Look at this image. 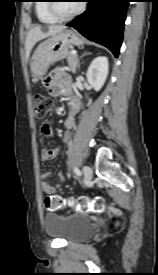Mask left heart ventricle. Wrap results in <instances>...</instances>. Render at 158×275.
<instances>
[{"mask_svg":"<svg viewBox=\"0 0 158 275\" xmlns=\"http://www.w3.org/2000/svg\"><path fill=\"white\" fill-rule=\"evenodd\" d=\"M64 3H59L58 8L62 14H70L73 12L80 4L76 3L79 1H61Z\"/></svg>","mask_w":158,"mask_h":275,"instance_id":"b2bd125f","label":"left heart ventricle"}]
</instances>
